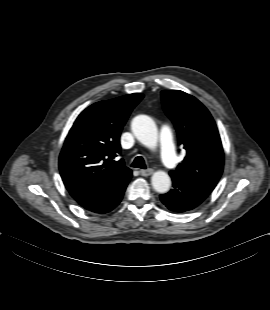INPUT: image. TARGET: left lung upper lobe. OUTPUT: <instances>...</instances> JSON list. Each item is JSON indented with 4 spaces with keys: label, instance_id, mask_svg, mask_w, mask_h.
Listing matches in <instances>:
<instances>
[{
    "label": "left lung upper lobe",
    "instance_id": "left-lung-upper-lobe-1",
    "mask_svg": "<svg viewBox=\"0 0 270 310\" xmlns=\"http://www.w3.org/2000/svg\"><path fill=\"white\" fill-rule=\"evenodd\" d=\"M161 95L164 110L176 127L179 145L187 151L177 170L170 174L216 186L223 171L224 153L211 114L183 91L163 90Z\"/></svg>",
    "mask_w": 270,
    "mask_h": 310
}]
</instances>
